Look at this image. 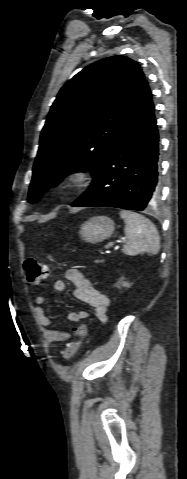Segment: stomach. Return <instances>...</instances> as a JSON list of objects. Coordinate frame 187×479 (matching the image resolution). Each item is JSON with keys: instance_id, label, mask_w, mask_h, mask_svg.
<instances>
[{"instance_id": "0dacf381", "label": "stomach", "mask_w": 187, "mask_h": 479, "mask_svg": "<svg viewBox=\"0 0 187 479\" xmlns=\"http://www.w3.org/2000/svg\"><path fill=\"white\" fill-rule=\"evenodd\" d=\"M114 225V221L109 217L95 216L81 225L79 233L86 242H101L113 234Z\"/></svg>"}]
</instances>
